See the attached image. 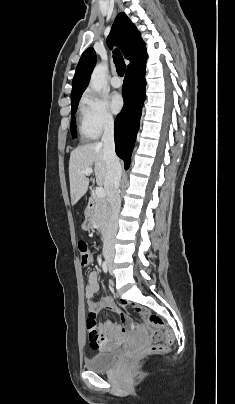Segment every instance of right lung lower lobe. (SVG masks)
Returning a JSON list of instances; mask_svg holds the SVG:
<instances>
[{
    "mask_svg": "<svg viewBox=\"0 0 235 404\" xmlns=\"http://www.w3.org/2000/svg\"><path fill=\"white\" fill-rule=\"evenodd\" d=\"M145 64L146 62L127 70L122 88L124 107L114 124L116 153L124 160L125 169L130 164L145 100Z\"/></svg>",
    "mask_w": 235,
    "mask_h": 404,
    "instance_id": "obj_1",
    "label": "right lung lower lobe"
}]
</instances>
